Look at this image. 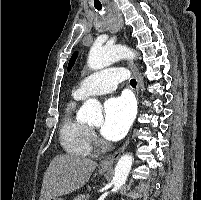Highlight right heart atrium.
I'll return each mask as SVG.
<instances>
[{"mask_svg":"<svg viewBox=\"0 0 201 200\" xmlns=\"http://www.w3.org/2000/svg\"><path fill=\"white\" fill-rule=\"evenodd\" d=\"M90 136H91V141H95L96 140V135L93 131H90Z\"/></svg>","mask_w":201,"mask_h":200,"instance_id":"d8ad5b80","label":"right heart atrium"}]
</instances>
